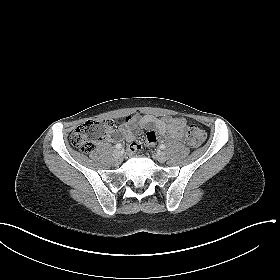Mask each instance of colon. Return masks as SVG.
<instances>
[{
  "mask_svg": "<svg viewBox=\"0 0 280 280\" xmlns=\"http://www.w3.org/2000/svg\"><path fill=\"white\" fill-rule=\"evenodd\" d=\"M114 122L110 119L89 120L78 126L71 134V144L84 153L92 152L99 141L112 129ZM186 137L190 146H200L206 134L196 125H188Z\"/></svg>",
  "mask_w": 280,
  "mask_h": 280,
  "instance_id": "obj_1",
  "label": "colon"
}]
</instances>
